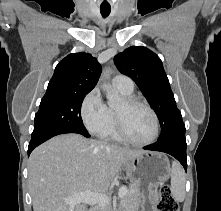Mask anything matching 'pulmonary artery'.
Masks as SVG:
<instances>
[{
  "label": "pulmonary artery",
  "instance_id": "obj_1",
  "mask_svg": "<svg viewBox=\"0 0 221 211\" xmlns=\"http://www.w3.org/2000/svg\"><path fill=\"white\" fill-rule=\"evenodd\" d=\"M112 82L118 90L124 91L126 93H132L134 90V83L132 79L126 75H116Z\"/></svg>",
  "mask_w": 221,
  "mask_h": 211
}]
</instances>
